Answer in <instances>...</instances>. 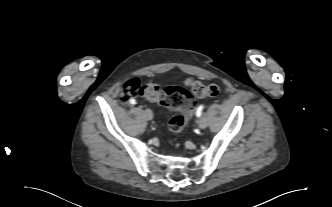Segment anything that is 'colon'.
Here are the masks:
<instances>
[{
  "instance_id": "obj_1",
  "label": "colon",
  "mask_w": 332,
  "mask_h": 207,
  "mask_svg": "<svg viewBox=\"0 0 332 207\" xmlns=\"http://www.w3.org/2000/svg\"><path fill=\"white\" fill-rule=\"evenodd\" d=\"M186 86L167 87L160 89L155 84L141 85L137 78L127 81L122 89V101L127 102L132 97L142 96L149 101L155 102L160 106L178 111L169 122V129L173 133L181 132L193 116L195 101L193 95L198 98L206 96H216L220 92L217 84L204 85L199 81L188 79Z\"/></svg>"
}]
</instances>
